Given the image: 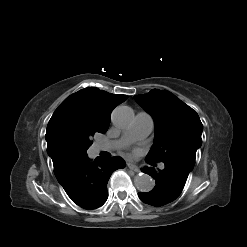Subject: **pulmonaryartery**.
<instances>
[{
    "instance_id": "e3ab8cb5",
    "label": "pulmonary artery",
    "mask_w": 247,
    "mask_h": 247,
    "mask_svg": "<svg viewBox=\"0 0 247 247\" xmlns=\"http://www.w3.org/2000/svg\"><path fill=\"white\" fill-rule=\"evenodd\" d=\"M153 126L154 121L149 113L143 111L138 112L131 127L128 128L119 139L100 145L99 150H116L123 148L136 140H142L151 133ZM160 169H164V164L160 165Z\"/></svg>"
}]
</instances>
